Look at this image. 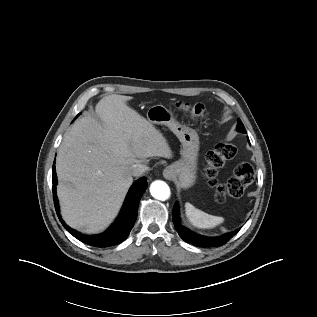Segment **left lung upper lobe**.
Listing matches in <instances>:
<instances>
[{"label": "left lung upper lobe", "instance_id": "1", "mask_svg": "<svg viewBox=\"0 0 317 317\" xmlns=\"http://www.w3.org/2000/svg\"><path fill=\"white\" fill-rule=\"evenodd\" d=\"M237 130L241 133H246V130L244 128V125L243 123L241 122V120L238 121V127H237Z\"/></svg>", "mask_w": 317, "mask_h": 317}]
</instances>
